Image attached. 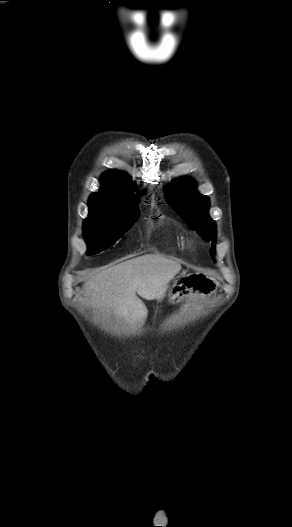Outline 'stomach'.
Wrapping results in <instances>:
<instances>
[{
  "mask_svg": "<svg viewBox=\"0 0 292 527\" xmlns=\"http://www.w3.org/2000/svg\"><path fill=\"white\" fill-rule=\"evenodd\" d=\"M217 282L201 274H189L176 280L168 293L171 302L179 301L188 294H211L215 292Z\"/></svg>",
  "mask_w": 292,
  "mask_h": 527,
  "instance_id": "1",
  "label": "stomach"
}]
</instances>
